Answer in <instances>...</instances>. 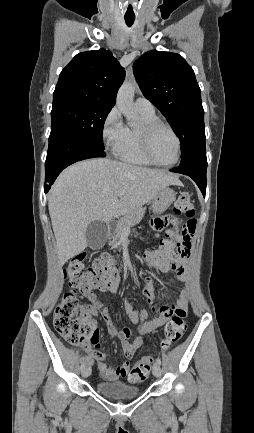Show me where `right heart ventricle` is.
Listing matches in <instances>:
<instances>
[{"mask_svg":"<svg viewBox=\"0 0 254 433\" xmlns=\"http://www.w3.org/2000/svg\"><path fill=\"white\" fill-rule=\"evenodd\" d=\"M142 121L158 120L155 113L140 112ZM140 127H125L124 135L117 148V157L129 164L138 166H151L153 165L143 154L139 138Z\"/></svg>","mask_w":254,"mask_h":433,"instance_id":"1","label":"right heart ventricle"}]
</instances>
